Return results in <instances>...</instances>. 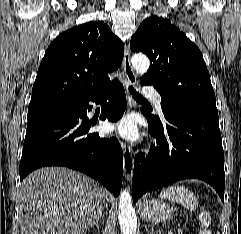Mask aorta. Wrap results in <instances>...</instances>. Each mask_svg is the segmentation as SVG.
Instances as JSON below:
<instances>
[{"label": "aorta", "mask_w": 241, "mask_h": 234, "mask_svg": "<svg viewBox=\"0 0 241 234\" xmlns=\"http://www.w3.org/2000/svg\"><path fill=\"white\" fill-rule=\"evenodd\" d=\"M131 63L138 74H145L150 61L143 54L132 56ZM118 218L122 234H136L137 218L132 204V197L127 189H123L119 196Z\"/></svg>", "instance_id": "obj_1"}]
</instances>
